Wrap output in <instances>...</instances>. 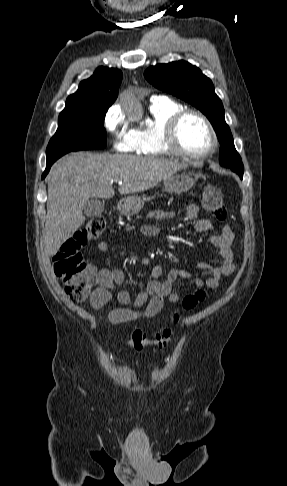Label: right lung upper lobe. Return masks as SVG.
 Listing matches in <instances>:
<instances>
[{
	"mask_svg": "<svg viewBox=\"0 0 287 486\" xmlns=\"http://www.w3.org/2000/svg\"><path fill=\"white\" fill-rule=\"evenodd\" d=\"M122 72L114 68L98 67L94 74L79 84L78 90L66 100V107L90 104L111 106L116 100Z\"/></svg>",
	"mask_w": 287,
	"mask_h": 486,
	"instance_id": "1",
	"label": "right lung upper lobe"
}]
</instances>
